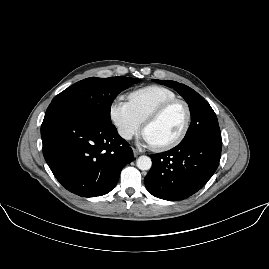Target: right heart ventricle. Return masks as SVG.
Segmentation results:
<instances>
[{
  "instance_id": "right-heart-ventricle-1",
  "label": "right heart ventricle",
  "mask_w": 269,
  "mask_h": 269,
  "mask_svg": "<svg viewBox=\"0 0 269 269\" xmlns=\"http://www.w3.org/2000/svg\"><path fill=\"white\" fill-rule=\"evenodd\" d=\"M176 98V94L173 91L161 86H149L133 91L129 95L131 108L142 123H144L147 115L154 109Z\"/></svg>"
}]
</instances>
